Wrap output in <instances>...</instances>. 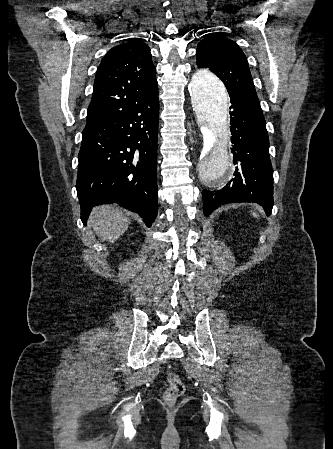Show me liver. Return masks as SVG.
<instances>
[{"label":"liver","mask_w":333,"mask_h":449,"mask_svg":"<svg viewBox=\"0 0 333 449\" xmlns=\"http://www.w3.org/2000/svg\"><path fill=\"white\" fill-rule=\"evenodd\" d=\"M130 224V219L122 209L115 205L94 208L90 216V225L102 240L114 243Z\"/></svg>","instance_id":"obj_1"}]
</instances>
